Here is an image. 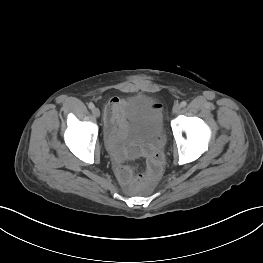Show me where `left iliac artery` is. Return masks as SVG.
Segmentation results:
<instances>
[{"label":"left iliac artery","instance_id":"44dca946","mask_svg":"<svg viewBox=\"0 0 263 263\" xmlns=\"http://www.w3.org/2000/svg\"><path fill=\"white\" fill-rule=\"evenodd\" d=\"M180 105H181V107H185L187 105V102L186 101H182Z\"/></svg>","mask_w":263,"mask_h":263}]
</instances>
